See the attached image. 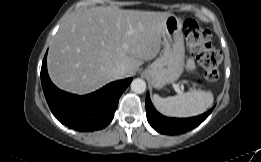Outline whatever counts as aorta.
Instances as JSON below:
<instances>
[{"mask_svg":"<svg viewBox=\"0 0 261 162\" xmlns=\"http://www.w3.org/2000/svg\"><path fill=\"white\" fill-rule=\"evenodd\" d=\"M131 90L134 93L141 94L146 90V83L143 79L137 78L134 79L131 83Z\"/></svg>","mask_w":261,"mask_h":162,"instance_id":"obj_1","label":"aorta"}]
</instances>
